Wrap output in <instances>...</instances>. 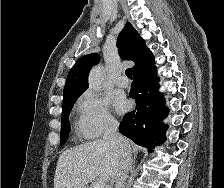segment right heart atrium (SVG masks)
Here are the masks:
<instances>
[{
  "instance_id": "d8ad5b80",
  "label": "right heart atrium",
  "mask_w": 224,
  "mask_h": 188,
  "mask_svg": "<svg viewBox=\"0 0 224 188\" xmlns=\"http://www.w3.org/2000/svg\"><path fill=\"white\" fill-rule=\"evenodd\" d=\"M77 109L82 133L89 138H100L118 126V121L110 110L109 99L92 89L80 96Z\"/></svg>"
}]
</instances>
